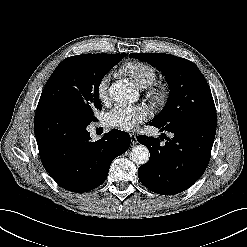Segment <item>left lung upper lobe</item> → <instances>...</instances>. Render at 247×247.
I'll return each mask as SVG.
<instances>
[{
  "instance_id": "1",
  "label": "left lung upper lobe",
  "mask_w": 247,
  "mask_h": 247,
  "mask_svg": "<svg viewBox=\"0 0 247 247\" xmlns=\"http://www.w3.org/2000/svg\"><path fill=\"white\" fill-rule=\"evenodd\" d=\"M156 67L166 77L170 94L163 110L153 123L163 128L183 124H207L216 126L215 104L207 81L191 61L164 53H131Z\"/></svg>"
}]
</instances>
